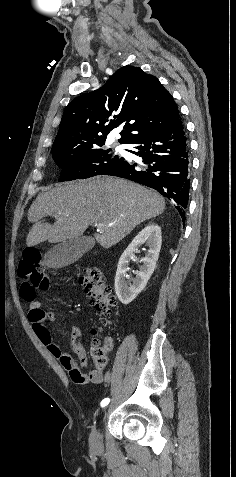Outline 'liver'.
Wrapping results in <instances>:
<instances>
[{
    "label": "liver",
    "instance_id": "obj_1",
    "mask_svg": "<svg viewBox=\"0 0 236 477\" xmlns=\"http://www.w3.org/2000/svg\"><path fill=\"white\" fill-rule=\"evenodd\" d=\"M164 210L165 200L157 192L120 178L99 176L58 185L31 205L28 220L33 226L26 243L63 242L80 237L89 225L103 224L94 237L108 249ZM46 216L55 217V223H44Z\"/></svg>",
    "mask_w": 236,
    "mask_h": 477
}]
</instances>
